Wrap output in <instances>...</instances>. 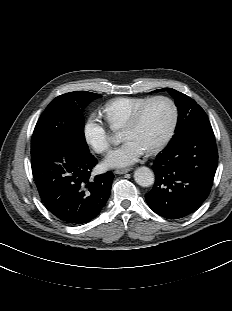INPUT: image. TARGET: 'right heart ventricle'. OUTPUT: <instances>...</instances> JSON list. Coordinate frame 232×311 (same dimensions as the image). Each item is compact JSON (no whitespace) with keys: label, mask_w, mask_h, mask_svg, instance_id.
<instances>
[{"label":"right heart ventricle","mask_w":232,"mask_h":311,"mask_svg":"<svg viewBox=\"0 0 232 311\" xmlns=\"http://www.w3.org/2000/svg\"><path fill=\"white\" fill-rule=\"evenodd\" d=\"M151 97H117L108 101L103 111L111 129H123L133 113Z\"/></svg>","instance_id":"right-heart-ventricle-1"}]
</instances>
